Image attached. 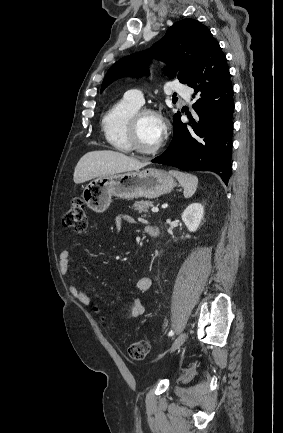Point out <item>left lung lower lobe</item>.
I'll return each mask as SVG.
<instances>
[{
  "label": "left lung lower lobe",
  "instance_id": "0a47b994",
  "mask_svg": "<svg viewBox=\"0 0 283 433\" xmlns=\"http://www.w3.org/2000/svg\"><path fill=\"white\" fill-rule=\"evenodd\" d=\"M197 100L194 118L181 121L174 116L173 139L160 156L152 160L182 170L212 171L227 185L231 175L234 111L233 89L224 53L213 44L197 64L186 83Z\"/></svg>",
  "mask_w": 283,
  "mask_h": 433
}]
</instances>
